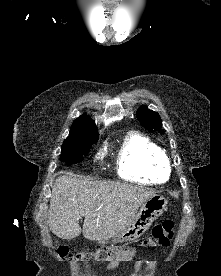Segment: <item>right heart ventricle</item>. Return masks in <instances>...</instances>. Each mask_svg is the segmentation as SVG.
I'll list each match as a JSON object with an SVG mask.
<instances>
[{
	"label": "right heart ventricle",
	"instance_id": "1",
	"mask_svg": "<svg viewBox=\"0 0 221 276\" xmlns=\"http://www.w3.org/2000/svg\"><path fill=\"white\" fill-rule=\"evenodd\" d=\"M117 170L121 178L136 183H162L170 176L163 149L149 137L128 134L118 153Z\"/></svg>",
	"mask_w": 221,
	"mask_h": 276
}]
</instances>
